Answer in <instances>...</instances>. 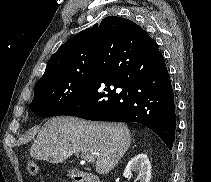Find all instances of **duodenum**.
Listing matches in <instances>:
<instances>
[{"label":"duodenum","instance_id":"1","mask_svg":"<svg viewBox=\"0 0 211 182\" xmlns=\"http://www.w3.org/2000/svg\"><path fill=\"white\" fill-rule=\"evenodd\" d=\"M74 179L76 182H101L97 177L88 173L76 174Z\"/></svg>","mask_w":211,"mask_h":182}]
</instances>
